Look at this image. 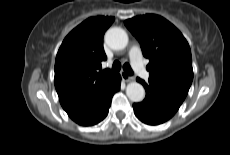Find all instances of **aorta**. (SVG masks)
Listing matches in <instances>:
<instances>
[{
  "instance_id": "aorta-1",
  "label": "aorta",
  "mask_w": 230,
  "mask_h": 155,
  "mask_svg": "<svg viewBox=\"0 0 230 155\" xmlns=\"http://www.w3.org/2000/svg\"><path fill=\"white\" fill-rule=\"evenodd\" d=\"M107 45L114 50L124 49L128 44V35L120 27L110 28L105 34ZM126 95L132 102H140L145 97V90L138 82H130L126 87Z\"/></svg>"
}]
</instances>
